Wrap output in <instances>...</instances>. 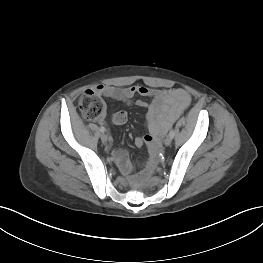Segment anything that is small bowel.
I'll use <instances>...</instances> for the list:
<instances>
[{"label":"small bowel","mask_w":263,"mask_h":263,"mask_svg":"<svg viewBox=\"0 0 263 263\" xmlns=\"http://www.w3.org/2000/svg\"><path fill=\"white\" fill-rule=\"evenodd\" d=\"M94 91L102 96L130 104L136 96L149 98V101L139 99L136 104L147 109L146 128L147 134L137 137L134 141L136 147L144 144L154 148L162 135L179 118L190 105L191 97L184 89L174 88L169 90L153 89L143 85H133L118 88L111 85H98ZM112 121L116 125H123L127 121V113L124 110L116 111L112 115ZM120 170L127 175L133 172V165L128 153L124 149L112 151ZM134 178V175H131Z\"/></svg>","instance_id":"c3829d8e"}]
</instances>
